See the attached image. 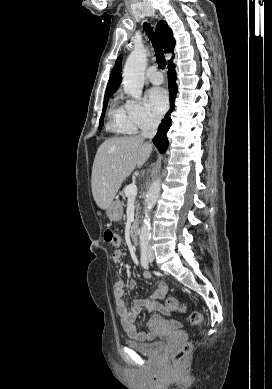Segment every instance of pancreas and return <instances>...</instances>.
Wrapping results in <instances>:
<instances>
[{
	"label": "pancreas",
	"instance_id": "cf45deb5",
	"mask_svg": "<svg viewBox=\"0 0 272 389\" xmlns=\"http://www.w3.org/2000/svg\"><path fill=\"white\" fill-rule=\"evenodd\" d=\"M124 192H125V191H124ZM126 197H127V196H126L125 194L122 195L123 200H126ZM138 209H139V204L136 205V211H137V212H138ZM136 215H137V214H136Z\"/></svg>",
	"mask_w": 272,
	"mask_h": 389
}]
</instances>
